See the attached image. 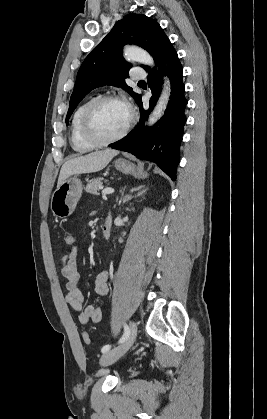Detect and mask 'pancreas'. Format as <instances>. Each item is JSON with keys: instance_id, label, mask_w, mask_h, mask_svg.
<instances>
[{"instance_id": "cf45deb5", "label": "pancreas", "mask_w": 267, "mask_h": 419, "mask_svg": "<svg viewBox=\"0 0 267 419\" xmlns=\"http://www.w3.org/2000/svg\"><path fill=\"white\" fill-rule=\"evenodd\" d=\"M100 186H102V178H93L87 183L85 191L97 195V190Z\"/></svg>"}]
</instances>
